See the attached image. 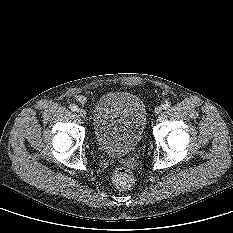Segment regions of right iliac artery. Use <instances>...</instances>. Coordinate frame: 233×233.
I'll return each instance as SVG.
<instances>
[{"instance_id":"82829eb1","label":"right iliac artery","mask_w":233,"mask_h":233,"mask_svg":"<svg viewBox=\"0 0 233 233\" xmlns=\"http://www.w3.org/2000/svg\"><path fill=\"white\" fill-rule=\"evenodd\" d=\"M70 108H71L72 111H77L78 110V106L74 105V104Z\"/></svg>"}]
</instances>
